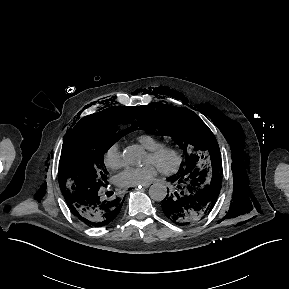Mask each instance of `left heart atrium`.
<instances>
[{"label": "left heart atrium", "mask_w": 289, "mask_h": 289, "mask_svg": "<svg viewBox=\"0 0 289 289\" xmlns=\"http://www.w3.org/2000/svg\"><path fill=\"white\" fill-rule=\"evenodd\" d=\"M157 173L154 164L149 163L142 167H127L116 176V183L120 187H139L152 182Z\"/></svg>", "instance_id": "1"}]
</instances>
